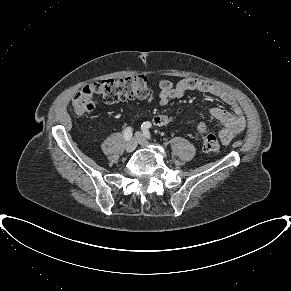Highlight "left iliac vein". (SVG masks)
<instances>
[{
	"mask_svg": "<svg viewBox=\"0 0 291 291\" xmlns=\"http://www.w3.org/2000/svg\"><path fill=\"white\" fill-rule=\"evenodd\" d=\"M135 137H136L137 142L140 145H142V146H147L148 145V141L145 139V137L141 133L137 132Z\"/></svg>",
	"mask_w": 291,
	"mask_h": 291,
	"instance_id": "obj_1",
	"label": "left iliac vein"
}]
</instances>
